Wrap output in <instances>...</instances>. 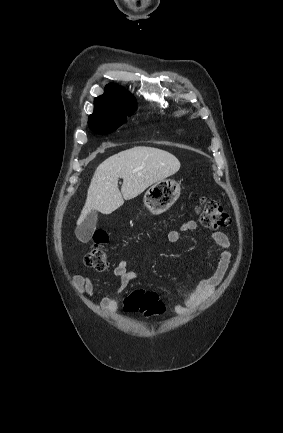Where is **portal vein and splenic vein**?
<instances>
[{
  "label": "portal vein and splenic vein",
  "instance_id": "obj_1",
  "mask_svg": "<svg viewBox=\"0 0 283 433\" xmlns=\"http://www.w3.org/2000/svg\"><path fill=\"white\" fill-rule=\"evenodd\" d=\"M132 172H136V170H132Z\"/></svg>",
  "mask_w": 283,
  "mask_h": 433
}]
</instances>
